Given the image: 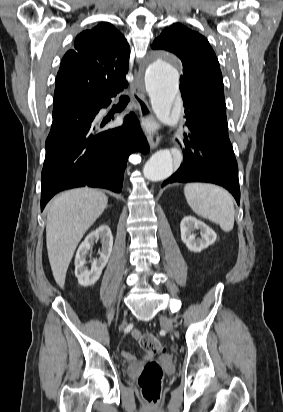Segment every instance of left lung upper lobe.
Instances as JSON below:
<instances>
[{
  "label": "left lung upper lobe",
  "mask_w": 283,
  "mask_h": 412,
  "mask_svg": "<svg viewBox=\"0 0 283 412\" xmlns=\"http://www.w3.org/2000/svg\"><path fill=\"white\" fill-rule=\"evenodd\" d=\"M152 48L172 52L182 61L180 91L184 106L194 108L211 122L227 123L222 74L207 39L176 23L154 40Z\"/></svg>",
  "instance_id": "5c2ea615"
}]
</instances>
